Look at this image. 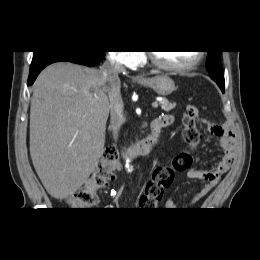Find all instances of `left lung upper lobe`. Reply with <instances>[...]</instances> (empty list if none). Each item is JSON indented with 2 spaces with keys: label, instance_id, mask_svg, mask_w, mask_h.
<instances>
[{
  "label": "left lung upper lobe",
  "instance_id": "left-lung-upper-lobe-1",
  "mask_svg": "<svg viewBox=\"0 0 260 260\" xmlns=\"http://www.w3.org/2000/svg\"><path fill=\"white\" fill-rule=\"evenodd\" d=\"M208 57L206 66L210 76L223 78V69L220 62V51H207Z\"/></svg>",
  "mask_w": 260,
  "mask_h": 260
}]
</instances>
